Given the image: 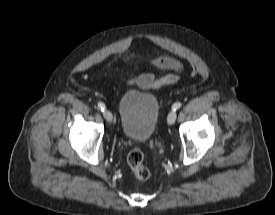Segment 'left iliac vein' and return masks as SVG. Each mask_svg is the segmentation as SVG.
Segmentation results:
<instances>
[{
    "label": "left iliac vein",
    "instance_id": "1",
    "mask_svg": "<svg viewBox=\"0 0 275 215\" xmlns=\"http://www.w3.org/2000/svg\"><path fill=\"white\" fill-rule=\"evenodd\" d=\"M176 116H177V113L175 110L170 111V113L168 114V117H167L168 125L174 124V122L176 121Z\"/></svg>",
    "mask_w": 275,
    "mask_h": 215
}]
</instances>
